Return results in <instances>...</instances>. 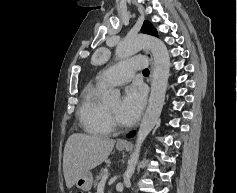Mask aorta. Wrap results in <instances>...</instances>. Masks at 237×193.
Wrapping results in <instances>:
<instances>
[{
	"label": "aorta",
	"instance_id": "aorta-1",
	"mask_svg": "<svg viewBox=\"0 0 237 193\" xmlns=\"http://www.w3.org/2000/svg\"><path fill=\"white\" fill-rule=\"evenodd\" d=\"M148 49L153 56L154 67L152 73L151 93L146 112L142 118L136 139L134 152L128 161L127 169L123 175L124 184H129L139 159L140 149L148 134L156 125L165 100L166 88L170 72V56L166 45L157 37L147 34L128 35L116 48V57L124 59ZM120 93L112 91L110 100H118Z\"/></svg>",
	"mask_w": 237,
	"mask_h": 193
}]
</instances>
